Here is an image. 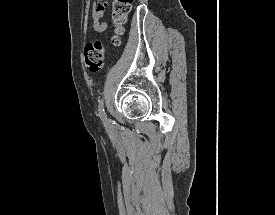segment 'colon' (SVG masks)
Segmentation results:
<instances>
[{
  "mask_svg": "<svg viewBox=\"0 0 275 215\" xmlns=\"http://www.w3.org/2000/svg\"><path fill=\"white\" fill-rule=\"evenodd\" d=\"M133 0H113L112 24L114 31L111 38L112 46L120 45V36L123 33V26L132 8ZM107 51L100 40H92L86 43L83 52L84 64L91 73L102 70Z\"/></svg>",
  "mask_w": 275,
  "mask_h": 215,
  "instance_id": "obj_1",
  "label": "colon"
}]
</instances>
